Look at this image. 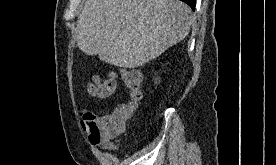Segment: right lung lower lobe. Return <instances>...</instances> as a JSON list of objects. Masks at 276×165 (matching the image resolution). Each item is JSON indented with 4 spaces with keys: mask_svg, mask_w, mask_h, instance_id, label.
I'll use <instances>...</instances> for the list:
<instances>
[{
    "mask_svg": "<svg viewBox=\"0 0 276 165\" xmlns=\"http://www.w3.org/2000/svg\"><path fill=\"white\" fill-rule=\"evenodd\" d=\"M187 3L193 10H195L196 0H181Z\"/></svg>",
    "mask_w": 276,
    "mask_h": 165,
    "instance_id": "obj_1",
    "label": "right lung lower lobe"
}]
</instances>
